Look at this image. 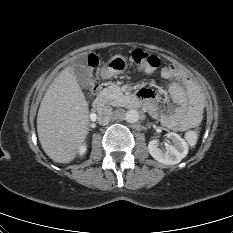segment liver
I'll return each mask as SVG.
<instances>
[{
	"instance_id": "liver-1",
	"label": "liver",
	"mask_w": 233,
	"mask_h": 233,
	"mask_svg": "<svg viewBox=\"0 0 233 233\" xmlns=\"http://www.w3.org/2000/svg\"><path fill=\"white\" fill-rule=\"evenodd\" d=\"M88 102L74 67L63 69L46 91L37 116V132L44 152L58 163L71 162L88 134Z\"/></svg>"
}]
</instances>
